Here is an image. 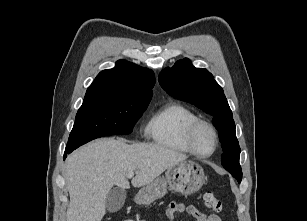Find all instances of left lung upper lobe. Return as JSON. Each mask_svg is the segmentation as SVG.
<instances>
[{
  "mask_svg": "<svg viewBox=\"0 0 307 221\" xmlns=\"http://www.w3.org/2000/svg\"><path fill=\"white\" fill-rule=\"evenodd\" d=\"M159 83L171 96L194 104L213 116L222 143V165L238 182L242 171L239 164L240 147L235 134L231 109L221 86L203 68H195L189 59L177 61L159 75Z\"/></svg>",
  "mask_w": 307,
  "mask_h": 221,
  "instance_id": "5c2ea615",
  "label": "left lung upper lobe"
}]
</instances>
